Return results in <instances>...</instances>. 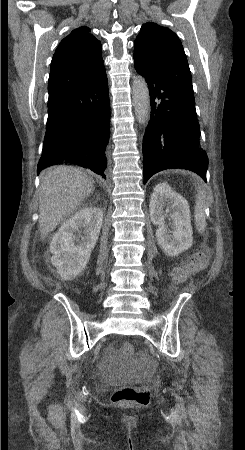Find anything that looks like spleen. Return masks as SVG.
I'll list each match as a JSON object with an SVG mask.
<instances>
[{"label":"spleen","mask_w":245,"mask_h":450,"mask_svg":"<svg viewBox=\"0 0 245 450\" xmlns=\"http://www.w3.org/2000/svg\"><path fill=\"white\" fill-rule=\"evenodd\" d=\"M197 202L195 207V223L196 228L200 233H203L206 228L205 217V194L202 186H198Z\"/></svg>","instance_id":"1"}]
</instances>
